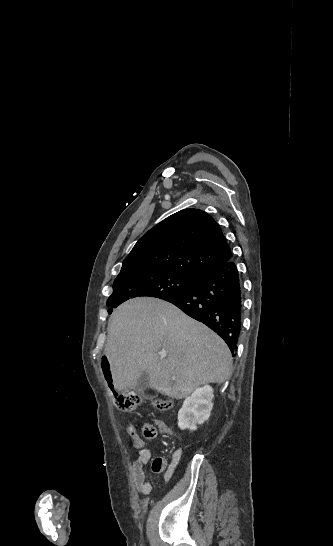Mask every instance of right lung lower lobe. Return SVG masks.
Returning a JSON list of instances; mask_svg holds the SVG:
<instances>
[{
    "label": "right lung lower lobe",
    "instance_id": "98d812e1",
    "mask_svg": "<svg viewBox=\"0 0 333 546\" xmlns=\"http://www.w3.org/2000/svg\"><path fill=\"white\" fill-rule=\"evenodd\" d=\"M164 300L207 325L236 354L243 305L242 284L232 259L205 273L189 291Z\"/></svg>",
    "mask_w": 333,
    "mask_h": 546
}]
</instances>
